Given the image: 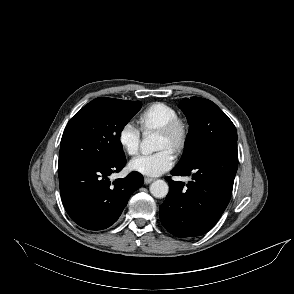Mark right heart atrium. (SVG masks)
Here are the masks:
<instances>
[{"mask_svg": "<svg viewBox=\"0 0 294 294\" xmlns=\"http://www.w3.org/2000/svg\"><path fill=\"white\" fill-rule=\"evenodd\" d=\"M140 138V131L132 122L124 123L119 129L117 135V141L120 148L130 156L138 153Z\"/></svg>", "mask_w": 294, "mask_h": 294, "instance_id": "d8ad5b80", "label": "right heart atrium"}]
</instances>
